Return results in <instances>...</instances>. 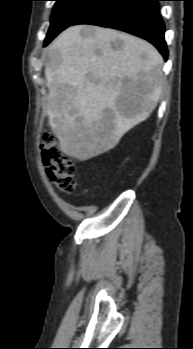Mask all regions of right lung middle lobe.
<instances>
[{
  "label": "right lung middle lobe",
  "instance_id": "obj_1",
  "mask_svg": "<svg viewBox=\"0 0 193 349\" xmlns=\"http://www.w3.org/2000/svg\"><path fill=\"white\" fill-rule=\"evenodd\" d=\"M51 24L45 39L46 46L62 30L84 14L100 0H55Z\"/></svg>",
  "mask_w": 193,
  "mask_h": 349
}]
</instances>
